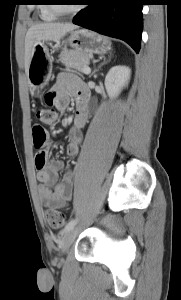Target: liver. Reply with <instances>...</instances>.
<instances>
[{"mask_svg":"<svg viewBox=\"0 0 181 300\" xmlns=\"http://www.w3.org/2000/svg\"><path fill=\"white\" fill-rule=\"evenodd\" d=\"M72 23H39L31 26L25 37L24 66L28 75L34 46L38 42L60 41L66 33L77 29Z\"/></svg>","mask_w":181,"mask_h":300,"instance_id":"6515ba94","label":"liver"}]
</instances>
